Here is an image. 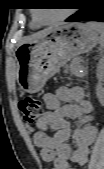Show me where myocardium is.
I'll return each mask as SVG.
<instances>
[{
  "mask_svg": "<svg viewBox=\"0 0 104 169\" xmlns=\"http://www.w3.org/2000/svg\"><path fill=\"white\" fill-rule=\"evenodd\" d=\"M70 14V11L69 10H66L63 14H61L58 18L52 20V21H48V22H44V21H41L37 16L36 14L33 15L34 17V20L36 23L38 24H42V25H50V24H55V23H58V22H61L63 20H65Z\"/></svg>",
  "mask_w": 104,
  "mask_h": 169,
  "instance_id": "obj_1",
  "label": "myocardium"
}]
</instances>
